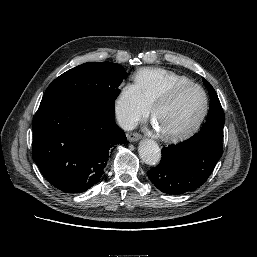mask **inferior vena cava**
Returning <instances> with one entry per match:
<instances>
[{
    "mask_svg": "<svg viewBox=\"0 0 257 257\" xmlns=\"http://www.w3.org/2000/svg\"><path fill=\"white\" fill-rule=\"evenodd\" d=\"M117 121L120 127L126 131H130L136 128L138 120L134 115L118 112Z\"/></svg>",
    "mask_w": 257,
    "mask_h": 257,
    "instance_id": "602c4592",
    "label": "inferior vena cava"
}]
</instances>
